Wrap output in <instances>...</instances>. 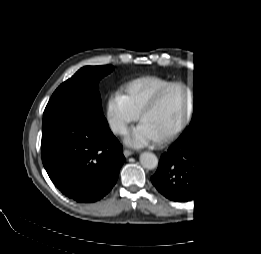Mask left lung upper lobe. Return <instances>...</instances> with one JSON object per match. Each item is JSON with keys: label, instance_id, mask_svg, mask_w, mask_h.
<instances>
[{"label": "left lung upper lobe", "instance_id": "1", "mask_svg": "<svg viewBox=\"0 0 261 254\" xmlns=\"http://www.w3.org/2000/svg\"><path fill=\"white\" fill-rule=\"evenodd\" d=\"M205 110H206V104L204 102V98L202 96H199L197 99L196 97L195 110H194L192 122L180 137H192V136L196 137L198 135L207 132L210 129L209 127L201 126L202 118H199V116L202 117V114L204 113Z\"/></svg>", "mask_w": 261, "mask_h": 254}]
</instances>
